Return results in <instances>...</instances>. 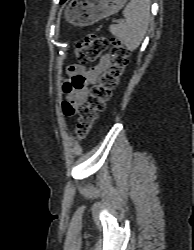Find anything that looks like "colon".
Here are the masks:
<instances>
[{
    "mask_svg": "<svg viewBox=\"0 0 194 250\" xmlns=\"http://www.w3.org/2000/svg\"><path fill=\"white\" fill-rule=\"evenodd\" d=\"M110 43H112L111 64L100 75L98 81L91 86L86 103L78 108L79 117L75 133L79 139L87 136L99 114L105 111L107 102L117 87L127 64L129 50L119 40L113 39L110 41L106 37L94 33H89L85 41L77 43L74 48L77 60L81 63H87L96 60ZM73 111V108L66 110L68 114Z\"/></svg>",
    "mask_w": 194,
    "mask_h": 250,
    "instance_id": "colon-1",
    "label": "colon"
}]
</instances>
